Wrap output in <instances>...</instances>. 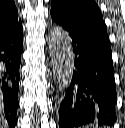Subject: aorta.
Masks as SVG:
<instances>
[{
    "label": "aorta",
    "mask_w": 125,
    "mask_h": 128,
    "mask_svg": "<svg viewBox=\"0 0 125 128\" xmlns=\"http://www.w3.org/2000/svg\"><path fill=\"white\" fill-rule=\"evenodd\" d=\"M48 49L53 75L60 90L69 87L74 70V54L68 33L60 26L53 27L48 35Z\"/></svg>",
    "instance_id": "aorta-1"
}]
</instances>
